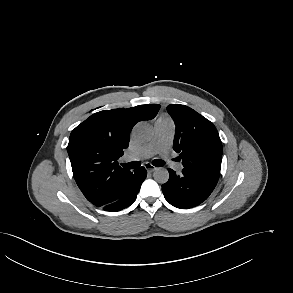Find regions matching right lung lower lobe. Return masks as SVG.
<instances>
[{"instance_id":"1","label":"right lung lower lobe","mask_w":293,"mask_h":293,"mask_svg":"<svg viewBox=\"0 0 293 293\" xmlns=\"http://www.w3.org/2000/svg\"><path fill=\"white\" fill-rule=\"evenodd\" d=\"M147 172L144 167L134 170L133 178L126 184L122 195L114 202L102 206L106 211H120L130 206L137 197L142 182L145 180Z\"/></svg>"}]
</instances>
